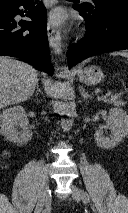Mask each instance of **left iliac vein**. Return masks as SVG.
I'll return each mask as SVG.
<instances>
[{
	"label": "left iliac vein",
	"instance_id": "left-iliac-vein-1",
	"mask_svg": "<svg viewBox=\"0 0 128 213\" xmlns=\"http://www.w3.org/2000/svg\"><path fill=\"white\" fill-rule=\"evenodd\" d=\"M72 197L75 201L80 202L82 200L81 192L78 187L72 185Z\"/></svg>",
	"mask_w": 128,
	"mask_h": 213
}]
</instances>
